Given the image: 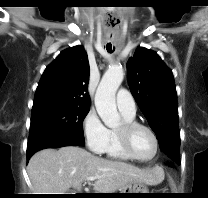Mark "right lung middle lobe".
I'll use <instances>...</instances> for the list:
<instances>
[{"label":"right lung middle lobe","instance_id":"right-lung-middle-lobe-1","mask_svg":"<svg viewBox=\"0 0 208 198\" xmlns=\"http://www.w3.org/2000/svg\"><path fill=\"white\" fill-rule=\"evenodd\" d=\"M89 106L53 103L32 108L29 140L49 135L65 134L84 142L83 120Z\"/></svg>","mask_w":208,"mask_h":198}]
</instances>
